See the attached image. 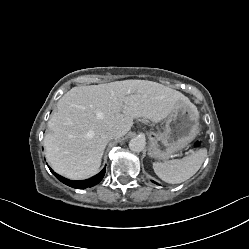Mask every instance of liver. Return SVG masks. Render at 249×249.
Returning <instances> with one entry per match:
<instances>
[{
    "label": "liver",
    "instance_id": "liver-1",
    "mask_svg": "<svg viewBox=\"0 0 249 249\" xmlns=\"http://www.w3.org/2000/svg\"><path fill=\"white\" fill-rule=\"evenodd\" d=\"M197 109L179 91L153 81L124 80L73 87L57 102L44 137L45 155L58 174L86 179L97 173L109 140L106 129L126 135L134 118L155 123L167 118L179 103Z\"/></svg>",
    "mask_w": 249,
    "mask_h": 249
}]
</instances>
